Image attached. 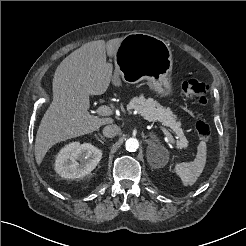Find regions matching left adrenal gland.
Instances as JSON below:
<instances>
[{
  "mask_svg": "<svg viewBox=\"0 0 246 246\" xmlns=\"http://www.w3.org/2000/svg\"><path fill=\"white\" fill-rule=\"evenodd\" d=\"M153 141L159 142V139L154 135ZM153 141L146 140V142L148 143V147H149V148H150L151 146H156V143H154Z\"/></svg>",
  "mask_w": 246,
  "mask_h": 246,
  "instance_id": "obj_1",
  "label": "left adrenal gland"
}]
</instances>
